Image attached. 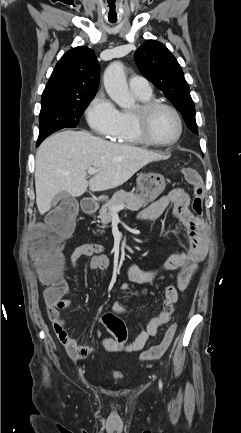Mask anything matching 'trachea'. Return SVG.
<instances>
[{
	"mask_svg": "<svg viewBox=\"0 0 241 433\" xmlns=\"http://www.w3.org/2000/svg\"><path fill=\"white\" fill-rule=\"evenodd\" d=\"M108 8H109V10L107 11L108 22L112 26H115L119 22L118 11L116 10L117 5L116 3L111 2L109 3Z\"/></svg>",
	"mask_w": 241,
	"mask_h": 433,
	"instance_id": "1",
	"label": "trachea"
}]
</instances>
